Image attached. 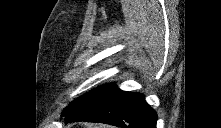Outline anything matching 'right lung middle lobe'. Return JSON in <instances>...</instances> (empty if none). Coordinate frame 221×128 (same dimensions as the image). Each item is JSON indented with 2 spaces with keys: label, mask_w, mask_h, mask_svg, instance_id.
<instances>
[{
  "label": "right lung middle lobe",
  "mask_w": 221,
  "mask_h": 128,
  "mask_svg": "<svg viewBox=\"0 0 221 128\" xmlns=\"http://www.w3.org/2000/svg\"><path fill=\"white\" fill-rule=\"evenodd\" d=\"M116 88L117 87L115 84H106L96 89H93L85 95L74 100L72 103H70L69 106L64 109L63 114L65 115L67 113L75 111L78 108L96 102L108 95L109 93H111L112 91H114Z\"/></svg>",
  "instance_id": "1"
}]
</instances>
